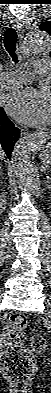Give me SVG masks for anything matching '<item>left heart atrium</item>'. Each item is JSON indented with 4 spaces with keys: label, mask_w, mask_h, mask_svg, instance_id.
I'll return each instance as SVG.
<instances>
[{
    "label": "left heart atrium",
    "mask_w": 51,
    "mask_h": 393,
    "mask_svg": "<svg viewBox=\"0 0 51 393\" xmlns=\"http://www.w3.org/2000/svg\"><path fill=\"white\" fill-rule=\"evenodd\" d=\"M6 108L13 118L27 125H44L51 119L50 96L31 87L10 94Z\"/></svg>",
    "instance_id": "1"
}]
</instances>
